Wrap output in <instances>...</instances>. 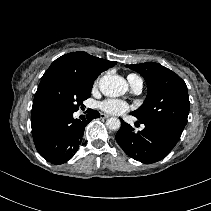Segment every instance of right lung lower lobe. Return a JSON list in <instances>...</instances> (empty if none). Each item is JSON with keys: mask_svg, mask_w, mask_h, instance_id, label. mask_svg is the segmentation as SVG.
I'll return each instance as SVG.
<instances>
[{"mask_svg": "<svg viewBox=\"0 0 211 211\" xmlns=\"http://www.w3.org/2000/svg\"><path fill=\"white\" fill-rule=\"evenodd\" d=\"M90 110L83 121L70 114H52L31 119L32 136L39 154L52 164H63L77 152L87 121L99 118Z\"/></svg>", "mask_w": 211, "mask_h": 211, "instance_id": "1", "label": "right lung lower lobe"}]
</instances>
